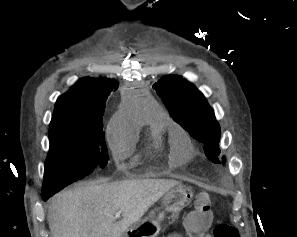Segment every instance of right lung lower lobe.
<instances>
[{
    "instance_id": "right-lung-lower-lobe-1",
    "label": "right lung lower lobe",
    "mask_w": 297,
    "mask_h": 237,
    "mask_svg": "<svg viewBox=\"0 0 297 237\" xmlns=\"http://www.w3.org/2000/svg\"><path fill=\"white\" fill-rule=\"evenodd\" d=\"M52 195L53 194H42V198H43V200H47Z\"/></svg>"
}]
</instances>
